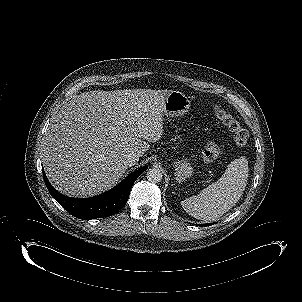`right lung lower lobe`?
<instances>
[{"label":"right lung lower lobe","mask_w":302,"mask_h":302,"mask_svg":"<svg viewBox=\"0 0 302 302\" xmlns=\"http://www.w3.org/2000/svg\"><path fill=\"white\" fill-rule=\"evenodd\" d=\"M147 168L141 167L131 173L110 191L86 199H76L61 194L50 184L44 171L43 177L51 196L71 215L86 220L108 217L123 208L129 198L133 183Z\"/></svg>","instance_id":"1"}]
</instances>
